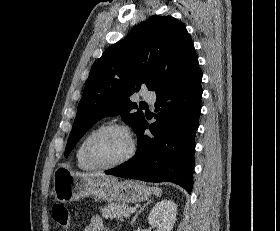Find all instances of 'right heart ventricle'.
Here are the masks:
<instances>
[{
  "label": "right heart ventricle",
  "mask_w": 280,
  "mask_h": 231,
  "mask_svg": "<svg viewBox=\"0 0 280 231\" xmlns=\"http://www.w3.org/2000/svg\"><path fill=\"white\" fill-rule=\"evenodd\" d=\"M104 125V122H98L91 127V129L82 137V139L78 142L75 151H74V159L76 166L82 171H91L94 170L84 159L83 151L86 144L87 139L100 127Z\"/></svg>",
  "instance_id": "1"
}]
</instances>
